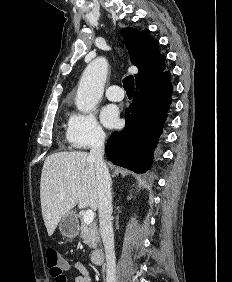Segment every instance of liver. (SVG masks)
<instances>
[{"mask_svg":"<svg viewBox=\"0 0 232 282\" xmlns=\"http://www.w3.org/2000/svg\"><path fill=\"white\" fill-rule=\"evenodd\" d=\"M43 220L51 236L61 218L77 204L96 210L97 175L86 152H59L48 156L40 181Z\"/></svg>","mask_w":232,"mask_h":282,"instance_id":"1","label":"liver"}]
</instances>
